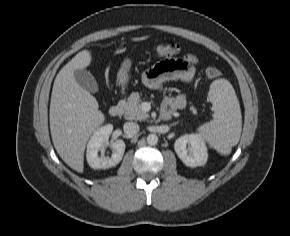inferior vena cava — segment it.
<instances>
[{"instance_id": "1", "label": "inferior vena cava", "mask_w": 290, "mask_h": 236, "mask_svg": "<svg viewBox=\"0 0 290 236\" xmlns=\"http://www.w3.org/2000/svg\"><path fill=\"white\" fill-rule=\"evenodd\" d=\"M123 128L127 134H136L140 129L139 125L135 122H126Z\"/></svg>"}]
</instances>
